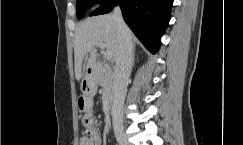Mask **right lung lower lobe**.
<instances>
[{"label":"right lung lower lobe","mask_w":243,"mask_h":145,"mask_svg":"<svg viewBox=\"0 0 243 145\" xmlns=\"http://www.w3.org/2000/svg\"><path fill=\"white\" fill-rule=\"evenodd\" d=\"M173 0H103L91 16L110 12L119 5L123 18L134 34L152 53L160 46V38L170 20Z\"/></svg>","instance_id":"right-lung-lower-lobe-1"}]
</instances>
